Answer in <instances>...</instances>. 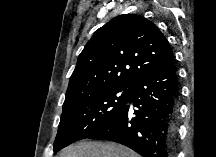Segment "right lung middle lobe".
Here are the masks:
<instances>
[{
  "instance_id": "obj_1",
  "label": "right lung middle lobe",
  "mask_w": 216,
  "mask_h": 157,
  "mask_svg": "<svg viewBox=\"0 0 216 157\" xmlns=\"http://www.w3.org/2000/svg\"><path fill=\"white\" fill-rule=\"evenodd\" d=\"M132 85L86 92L63 106L53 151L90 137L108 124L127 104Z\"/></svg>"
}]
</instances>
